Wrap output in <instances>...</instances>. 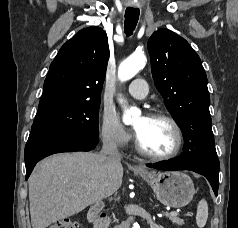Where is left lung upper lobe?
<instances>
[{
  "mask_svg": "<svg viewBox=\"0 0 238 228\" xmlns=\"http://www.w3.org/2000/svg\"><path fill=\"white\" fill-rule=\"evenodd\" d=\"M151 71L164 104L184 137L182 164L217 159L207 76L198 54L176 33L160 29L148 40Z\"/></svg>",
  "mask_w": 238,
  "mask_h": 228,
  "instance_id": "1",
  "label": "left lung upper lobe"
}]
</instances>
